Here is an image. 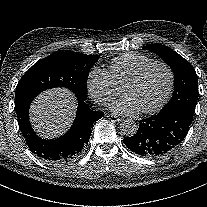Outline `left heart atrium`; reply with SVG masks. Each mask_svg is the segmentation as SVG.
Here are the masks:
<instances>
[{
  "label": "left heart atrium",
  "mask_w": 207,
  "mask_h": 207,
  "mask_svg": "<svg viewBox=\"0 0 207 207\" xmlns=\"http://www.w3.org/2000/svg\"><path fill=\"white\" fill-rule=\"evenodd\" d=\"M110 108L115 113H118V114H121V115H136V114L139 113L136 106L127 97H124V98L112 103Z\"/></svg>",
  "instance_id": "39dd6f15"
}]
</instances>
